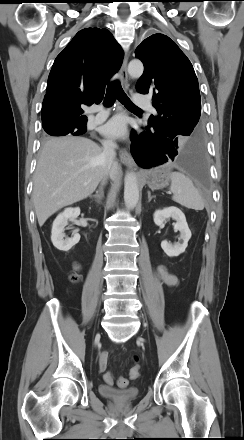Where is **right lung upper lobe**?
<instances>
[{
  "mask_svg": "<svg viewBox=\"0 0 244 440\" xmlns=\"http://www.w3.org/2000/svg\"><path fill=\"white\" fill-rule=\"evenodd\" d=\"M123 52L107 29L79 31L56 57L42 105V123L86 125L82 107L100 103L110 77L120 68Z\"/></svg>",
  "mask_w": 244,
  "mask_h": 440,
  "instance_id": "cb5924a9",
  "label": "right lung upper lobe"
}]
</instances>
